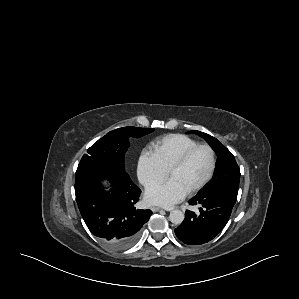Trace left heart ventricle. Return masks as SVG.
<instances>
[{"label":"left heart ventricle","mask_w":299,"mask_h":299,"mask_svg":"<svg viewBox=\"0 0 299 299\" xmlns=\"http://www.w3.org/2000/svg\"><path fill=\"white\" fill-rule=\"evenodd\" d=\"M211 156L207 149L201 148L193 153L187 163L169 177L177 181L186 191L200 183L207 175Z\"/></svg>","instance_id":"1"}]
</instances>
